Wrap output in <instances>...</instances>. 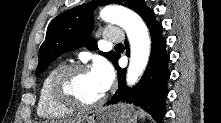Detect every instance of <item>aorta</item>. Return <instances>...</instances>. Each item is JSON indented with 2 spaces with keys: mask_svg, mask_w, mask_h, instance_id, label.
I'll use <instances>...</instances> for the list:
<instances>
[{
  "mask_svg": "<svg viewBox=\"0 0 221 123\" xmlns=\"http://www.w3.org/2000/svg\"><path fill=\"white\" fill-rule=\"evenodd\" d=\"M103 21L121 26L130 42L127 84L134 85L144 72L150 56V37L146 25L135 12L120 6H106L100 12Z\"/></svg>",
  "mask_w": 221,
  "mask_h": 123,
  "instance_id": "aorta-1",
  "label": "aorta"
}]
</instances>
